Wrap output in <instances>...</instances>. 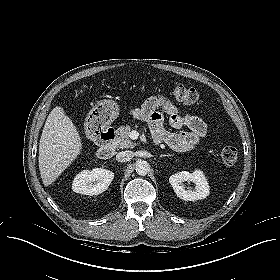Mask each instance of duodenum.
<instances>
[{"mask_svg": "<svg viewBox=\"0 0 280 280\" xmlns=\"http://www.w3.org/2000/svg\"><path fill=\"white\" fill-rule=\"evenodd\" d=\"M117 132L115 127L113 126H107L104 129H100L99 132L96 134V138L98 142L100 143L97 156L98 158L102 160L110 159L114 156L115 153V138H116ZM156 144H158L160 141L156 140Z\"/></svg>", "mask_w": 280, "mask_h": 280, "instance_id": "1", "label": "duodenum"}]
</instances>
